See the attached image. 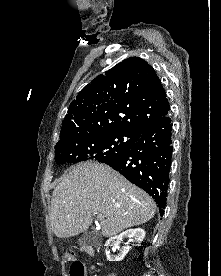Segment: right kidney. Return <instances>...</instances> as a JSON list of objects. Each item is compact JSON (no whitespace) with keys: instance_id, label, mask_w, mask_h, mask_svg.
Segmentation results:
<instances>
[{"instance_id":"1","label":"right kidney","mask_w":221,"mask_h":276,"mask_svg":"<svg viewBox=\"0 0 221 276\" xmlns=\"http://www.w3.org/2000/svg\"><path fill=\"white\" fill-rule=\"evenodd\" d=\"M145 237V231L142 228H136V229H129L123 233H121L118 236L115 237H111L110 239H108L105 243V246L108 248L109 246H113V247H118L119 244L121 243V241L124 238H129V241H133L138 243V245L142 242V240ZM130 246H124L121 250V252L116 255L113 256L110 254V251H108L106 249V256L107 259L109 261H121L124 259V257L126 256V254L129 252L130 250Z\"/></svg>"}]
</instances>
